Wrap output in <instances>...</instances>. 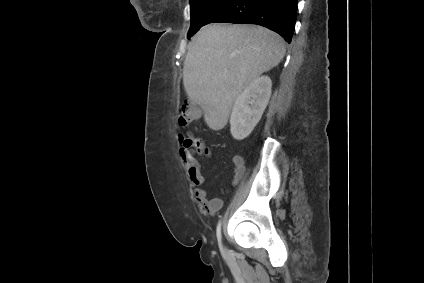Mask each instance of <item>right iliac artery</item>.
<instances>
[{"label": "right iliac artery", "mask_w": 424, "mask_h": 283, "mask_svg": "<svg viewBox=\"0 0 424 283\" xmlns=\"http://www.w3.org/2000/svg\"><path fill=\"white\" fill-rule=\"evenodd\" d=\"M216 236H217V239H218L220 248L223 249L222 248V243H221V240H222V235H221V220L218 222V225H217V228H216Z\"/></svg>", "instance_id": "obj_1"}]
</instances>
